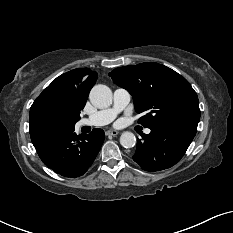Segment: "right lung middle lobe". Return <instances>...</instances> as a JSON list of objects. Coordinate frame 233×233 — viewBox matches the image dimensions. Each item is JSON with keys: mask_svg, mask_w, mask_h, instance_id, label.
<instances>
[{"mask_svg": "<svg viewBox=\"0 0 233 233\" xmlns=\"http://www.w3.org/2000/svg\"><path fill=\"white\" fill-rule=\"evenodd\" d=\"M80 119L55 102L39 105L30 120V127L67 129L75 126Z\"/></svg>", "mask_w": 233, "mask_h": 233, "instance_id": "obj_1", "label": "right lung middle lobe"}]
</instances>
